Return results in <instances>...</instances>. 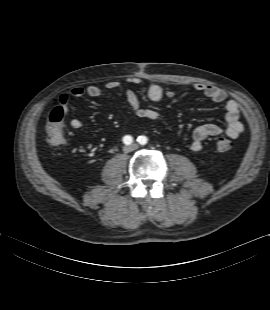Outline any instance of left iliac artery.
I'll return each mask as SVG.
<instances>
[{"label": "left iliac artery", "mask_w": 270, "mask_h": 310, "mask_svg": "<svg viewBox=\"0 0 270 310\" xmlns=\"http://www.w3.org/2000/svg\"><path fill=\"white\" fill-rule=\"evenodd\" d=\"M137 141L139 142V144L145 145L147 143L148 139L145 136H139Z\"/></svg>", "instance_id": "44dca946"}]
</instances>
